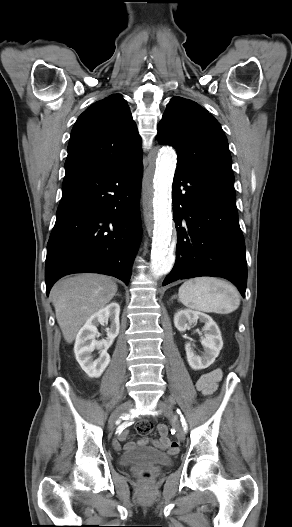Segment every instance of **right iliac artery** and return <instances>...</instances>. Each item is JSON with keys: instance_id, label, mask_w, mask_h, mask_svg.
<instances>
[{"instance_id": "right-iliac-artery-1", "label": "right iliac artery", "mask_w": 292, "mask_h": 527, "mask_svg": "<svg viewBox=\"0 0 292 527\" xmlns=\"http://www.w3.org/2000/svg\"><path fill=\"white\" fill-rule=\"evenodd\" d=\"M136 414L132 413V416L129 418V420L122 422L120 425L116 426V433H120L121 431H125L127 428H132L136 425Z\"/></svg>"}]
</instances>
